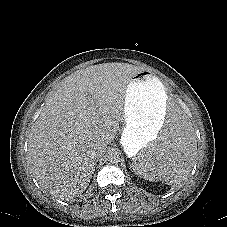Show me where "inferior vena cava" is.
Listing matches in <instances>:
<instances>
[{
    "mask_svg": "<svg viewBox=\"0 0 227 227\" xmlns=\"http://www.w3.org/2000/svg\"><path fill=\"white\" fill-rule=\"evenodd\" d=\"M107 149V145L105 143H99L94 147L93 154L96 158L101 157Z\"/></svg>",
    "mask_w": 227,
    "mask_h": 227,
    "instance_id": "obj_1",
    "label": "inferior vena cava"
}]
</instances>
